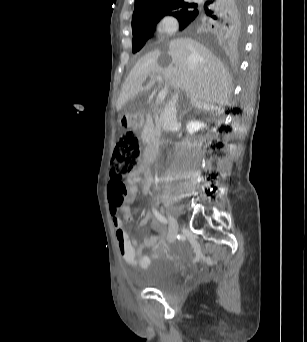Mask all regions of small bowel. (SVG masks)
<instances>
[{
  "instance_id": "small-bowel-1",
  "label": "small bowel",
  "mask_w": 307,
  "mask_h": 342,
  "mask_svg": "<svg viewBox=\"0 0 307 342\" xmlns=\"http://www.w3.org/2000/svg\"><path fill=\"white\" fill-rule=\"evenodd\" d=\"M129 183L131 195L135 194L137 186H141L142 193L147 194L150 187V181L146 168L142 167L133 172L129 176ZM122 210L124 214L130 213L128 207H124ZM111 211L112 213L116 212L112 206ZM151 217L152 215L150 212L145 213L139 223V227H144L149 222ZM124 220L128 221L125 218ZM124 220L115 215L112 217V225L115 231V238L119 253L127 264L131 266L139 265L141 268L145 269L150 265L151 258L147 255H143L144 248H153V256H158L160 242L164 238L165 233L160 225L155 222L153 224V228L160 231V235L158 237L146 235L144 242L139 243L135 237H129L127 234L124 227Z\"/></svg>"
}]
</instances>
